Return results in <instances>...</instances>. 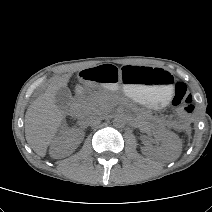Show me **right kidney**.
I'll use <instances>...</instances> for the list:
<instances>
[{
    "instance_id": "right-kidney-1",
    "label": "right kidney",
    "mask_w": 212,
    "mask_h": 212,
    "mask_svg": "<svg viewBox=\"0 0 212 212\" xmlns=\"http://www.w3.org/2000/svg\"><path fill=\"white\" fill-rule=\"evenodd\" d=\"M84 138V132L79 129H64L50 146V156L60 159L72 154Z\"/></svg>"
}]
</instances>
